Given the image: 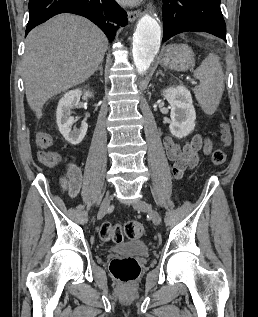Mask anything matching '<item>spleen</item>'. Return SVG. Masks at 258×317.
I'll return each instance as SVG.
<instances>
[{"mask_svg": "<svg viewBox=\"0 0 258 317\" xmlns=\"http://www.w3.org/2000/svg\"><path fill=\"white\" fill-rule=\"evenodd\" d=\"M194 76L200 80V84L194 88V94L204 112L213 114L224 90V74L218 56L210 52L194 70Z\"/></svg>", "mask_w": 258, "mask_h": 317, "instance_id": "spleen-1", "label": "spleen"}]
</instances>
